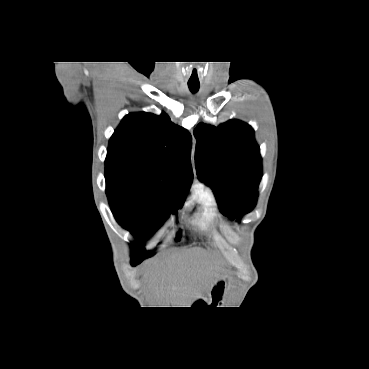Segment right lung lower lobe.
<instances>
[{"label":"right lung lower lobe","mask_w":369,"mask_h":369,"mask_svg":"<svg viewBox=\"0 0 369 369\" xmlns=\"http://www.w3.org/2000/svg\"><path fill=\"white\" fill-rule=\"evenodd\" d=\"M136 264H139V262H138V261H134V262H132V265H133V266H135Z\"/></svg>","instance_id":"obj_1"}]
</instances>
